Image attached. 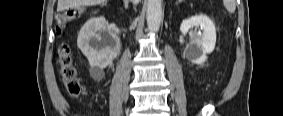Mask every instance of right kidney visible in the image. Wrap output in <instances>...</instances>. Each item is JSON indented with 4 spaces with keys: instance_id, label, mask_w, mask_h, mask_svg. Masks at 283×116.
<instances>
[{
    "instance_id": "right-kidney-1",
    "label": "right kidney",
    "mask_w": 283,
    "mask_h": 116,
    "mask_svg": "<svg viewBox=\"0 0 283 116\" xmlns=\"http://www.w3.org/2000/svg\"><path fill=\"white\" fill-rule=\"evenodd\" d=\"M77 46L93 68L104 69L119 55L121 49L117 34L106 24L104 17L89 19L81 28Z\"/></svg>"
}]
</instances>
